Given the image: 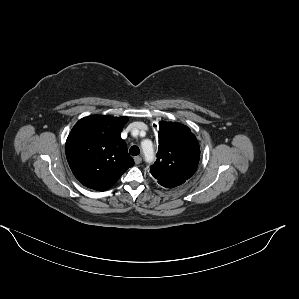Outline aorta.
Segmentation results:
<instances>
[{"label":"aorta","instance_id":"obj_1","mask_svg":"<svg viewBox=\"0 0 299 299\" xmlns=\"http://www.w3.org/2000/svg\"><path fill=\"white\" fill-rule=\"evenodd\" d=\"M141 147L144 153L145 160L150 162L154 159V151H153V145L150 140H144L141 143Z\"/></svg>","mask_w":299,"mask_h":299}]
</instances>
